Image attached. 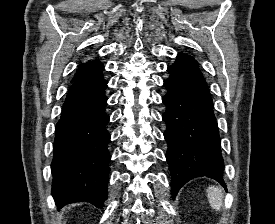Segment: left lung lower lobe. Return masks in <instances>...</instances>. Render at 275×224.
Segmentation results:
<instances>
[{
	"instance_id": "1",
	"label": "left lung lower lobe",
	"mask_w": 275,
	"mask_h": 224,
	"mask_svg": "<svg viewBox=\"0 0 275 224\" xmlns=\"http://www.w3.org/2000/svg\"><path fill=\"white\" fill-rule=\"evenodd\" d=\"M164 80L168 92L162 98L166 106L163 121L168 143L166 159L172 175L174 196L189 180L206 176L226 188L224 160L213 102L199 68L174 70Z\"/></svg>"
}]
</instances>
